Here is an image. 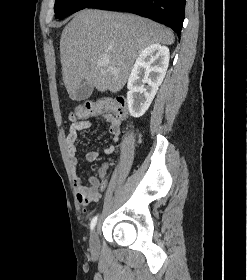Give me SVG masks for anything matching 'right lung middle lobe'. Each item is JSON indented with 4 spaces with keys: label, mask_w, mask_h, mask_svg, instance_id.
I'll use <instances>...</instances> for the list:
<instances>
[{
    "label": "right lung middle lobe",
    "mask_w": 247,
    "mask_h": 280,
    "mask_svg": "<svg viewBox=\"0 0 247 280\" xmlns=\"http://www.w3.org/2000/svg\"><path fill=\"white\" fill-rule=\"evenodd\" d=\"M97 0H56L54 10L55 18L63 19L66 16L90 7Z\"/></svg>",
    "instance_id": "dd1d6c3e"
}]
</instances>
